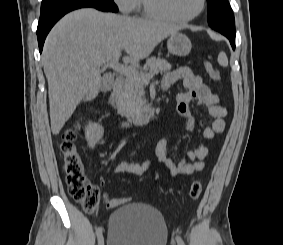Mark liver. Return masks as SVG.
Returning a JSON list of instances; mask_svg holds the SVG:
<instances>
[{"mask_svg": "<svg viewBox=\"0 0 283 245\" xmlns=\"http://www.w3.org/2000/svg\"><path fill=\"white\" fill-rule=\"evenodd\" d=\"M179 27L95 9L65 15L50 31L42 53L48 81L51 130L59 134L82 101L98 96L100 67L121 56L126 63L147 58Z\"/></svg>", "mask_w": 283, "mask_h": 245, "instance_id": "liver-1", "label": "liver"}]
</instances>
